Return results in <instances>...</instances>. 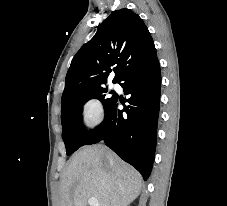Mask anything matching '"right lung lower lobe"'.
<instances>
[{
    "label": "right lung lower lobe",
    "instance_id": "1",
    "mask_svg": "<svg viewBox=\"0 0 227 206\" xmlns=\"http://www.w3.org/2000/svg\"><path fill=\"white\" fill-rule=\"evenodd\" d=\"M130 105L118 109V98L106 109L104 123L85 145L104 141L147 180L151 173L157 136L161 73L157 56L134 67L120 81ZM125 112L126 114H123Z\"/></svg>",
    "mask_w": 227,
    "mask_h": 206
}]
</instances>
